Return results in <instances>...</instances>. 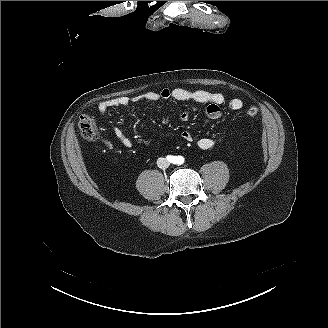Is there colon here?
<instances>
[{
  "instance_id": "5ec220e1",
  "label": "colon",
  "mask_w": 328,
  "mask_h": 328,
  "mask_svg": "<svg viewBox=\"0 0 328 328\" xmlns=\"http://www.w3.org/2000/svg\"><path fill=\"white\" fill-rule=\"evenodd\" d=\"M249 117H255L258 114V108L250 106L246 110ZM79 130L82 136L86 139H94L98 134V128L93 118L87 115H82L78 122Z\"/></svg>"
}]
</instances>
